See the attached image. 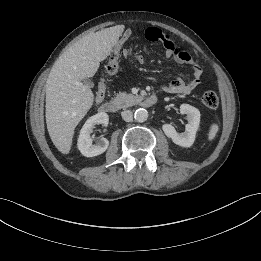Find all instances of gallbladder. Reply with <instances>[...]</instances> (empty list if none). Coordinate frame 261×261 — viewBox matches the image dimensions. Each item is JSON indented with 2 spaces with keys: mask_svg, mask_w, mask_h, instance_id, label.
Segmentation results:
<instances>
[{
  "mask_svg": "<svg viewBox=\"0 0 261 261\" xmlns=\"http://www.w3.org/2000/svg\"><path fill=\"white\" fill-rule=\"evenodd\" d=\"M84 84H85V85H88V86H90V87L93 86V82H92L90 79H85V80H84Z\"/></svg>",
  "mask_w": 261,
  "mask_h": 261,
  "instance_id": "1",
  "label": "gallbladder"
}]
</instances>
